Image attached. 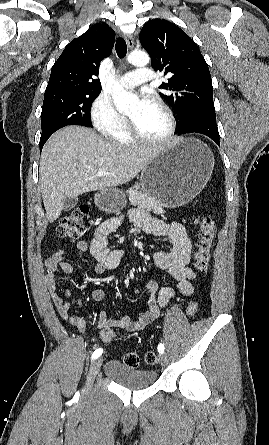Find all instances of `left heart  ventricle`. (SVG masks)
I'll list each match as a JSON object with an SVG mask.
<instances>
[{
    "mask_svg": "<svg viewBox=\"0 0 269 445\" xmlns=\"http://www.w3.org/2000/svg\"><path fill=\"white\" fill-rule=\"evenodd\" d=\"M128 116L133 120L140 133L147 138H160L168 130L167 116L154 103L150 102L147 106L141 107L137 102L130 109Z\"/></svg>",
    "mask_w": 269,
    "mask_h": 445,
    "instance_id": "obj_1",
    "label": "left heart ventricle"
}]
</instances>
